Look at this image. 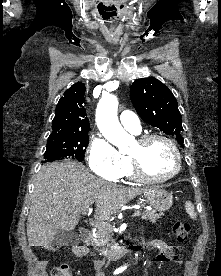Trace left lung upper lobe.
Masks as SVG:
<instances>
[{
	"instance_id": "5c2ea615",
	"label": "left lung upper lobe",
	"mask_w": 221,
	"mask_h": 276,
	"mask_svg": "<svg viewBox=\"0 0 221 276\" xmlns=\"http://www.w3.org/2000/svg\"><path fill=\"white\" fill-rule=\"evenodd\" d=\"M130 98L138 115L148 124L176 137L183 144L181 114L169 88L154 77L134 81Z\"/></svg>"
}]
</instances>
